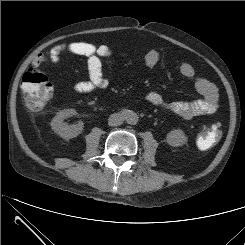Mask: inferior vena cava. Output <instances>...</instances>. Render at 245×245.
Masks as SVG:
<instances>
[{
  "label": "inferior vena cava",
  "mask_w": 245,
  "mask_h": 245,
  "mask_svg": "<svg viewBox=\"0 0 245 245\" xmlns=\"http://www.w3.org/2000/svg\"><path fill=\"white\" fill-rule=\"evenodd\" d=\"M124 117L121 114H112L108 119V124L110 126H119L123 123Z\"/></svg>",
  "instance_id": "1"
}]
</instances>
